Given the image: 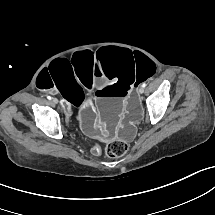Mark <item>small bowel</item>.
<instances>
[{
  "mask_svg": "<svg viewBox=\"0 0 215 215\" xmlns=\"http://www.w3.org/2000/svg\"><path fill=\"white\" fill-rule=\"evenodd\" d=\"M94 149L97 151L98 154H100V149H99V147H95ZM94 149H93V150H94Z\"/></svg>",
  "mask_w": 215,
  "mask_h": 215,
  "instance_id": "small-bowel-1",
  "label": "small bowel"
}]
</instances>
